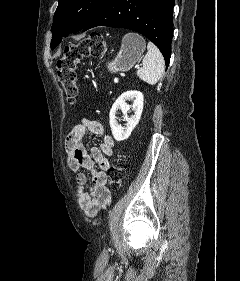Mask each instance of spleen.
<instances>
[{
    "instance_id": "1",
    "label": "spleen",
    "mask_w": 240,
    "mask_h": 281,
    "mask_svg": "<svg viewBox=\"0 0 240 281\" xmlns=\"http://www.w3.org/2000/svg\"><path fill=\"white\" fill-rule=\"evenodd\" d=\"M142 64L137 76L149 85H155L164 73L165 62L161 52L152 42L147 45V54Z\"/></svg>"
}]
</instances>
